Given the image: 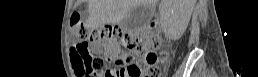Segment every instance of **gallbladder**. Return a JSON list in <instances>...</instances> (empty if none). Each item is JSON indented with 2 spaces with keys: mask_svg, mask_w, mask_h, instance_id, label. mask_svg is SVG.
<instances>
[{
  "mask_svg": "<svg viewBox=\"0 0 258 77\" xmlns=\"http://www.w3.org/2000/svg\"><path fill=\"white\" fill-rule=\"evenodd\" d=\"M152 16V9L147 6H138L132 8L126 18L124 19V27L130 34L144 27Z\"/></svg>",
  "mask_w": 258,
  "mask_h": 77,
  "instance_id": "obj_1",
  "label": "gallbladder"
}]
</instances>
